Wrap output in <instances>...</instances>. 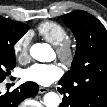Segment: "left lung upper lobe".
I'll return each mask as SVG.
<instances>
[{"instance_id": "5c2ea615", "label": "left lung upper lobe", "mask_w": 107, "mask_h": 107, "mask_svg": "<svg viewBox=\"0 0 107 107\" xmlns=\"http://www.w3.org/2000/svg\"><path fill=\"white\" fill-rule=\"evenodd\" d=\"M62 19L76 37L77 50L71 69L59 82L74 90L68 105L82 107L84 96L80 84L100 77L107 79V31L85 11L63 15Z\"/></svg>"}]
</instances>
